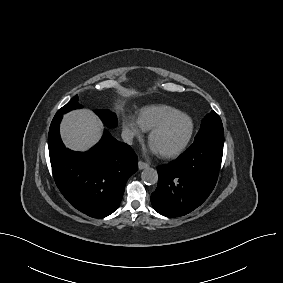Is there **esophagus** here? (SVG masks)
<instances>
[{
  "mask_svg": "<svg viewBox=\"0 0 283 283\" xmlns=\"http://www.w3.org/2000/svg\"><path fill=\"white\" fill-rule=\"evenodd\" d=\"M149 165L146 163V162H144V161H139L138 162V167H139V169L140 170H142V169H145V168H147Z\"/></svg>",
  "mask_w": 283,
  "mask_h": 283,
  "instance_id": "34e87169",
  "label": "esophagus"
}]
</instances>
